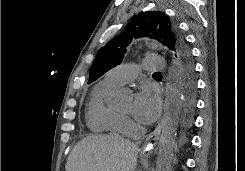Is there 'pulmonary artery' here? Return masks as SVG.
<instances>
[{
    "label": "pulmonary artery",
    "mask_w": 245,
    "mask_h": 171,
    "mask_svg": "<svg viewBox=\"0 0 245 171\" xmlns=\"http://www.w3.org/2000/svg\"><path fill=\"white\" fill-rule=\"evenodd\" d=\"M166 67V60L159 55H150L144 59L143 68L146 72L162 70ZM138 67L135 64H121L105 74L104 81L112 86H121L135 78Z\"/></svg>",
    "instance_id": "pulmonary-artery-1"
}]
</instances>
